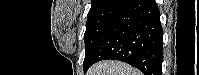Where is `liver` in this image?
<instances>
[{
    "label": "liver",
    "mask_w": 199,
    "mask_h": 75,
    "mask_svg": "<svg viewBox=\"0 0 199 75\" xmlns=\"http://www.w3.org/2000/svg\"><path fill=\"white\" fill-rule=\"evenodd\" d=\"M87 75H142V73L120 61H101L94 64Z\"/></svg>",
    "instance_id": "obj_1"
}]
</instances>
